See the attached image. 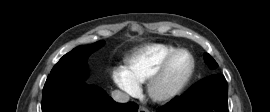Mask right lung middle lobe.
I'll list each match as a JSON object with an SVG mask.
<instances>
[{
  "label": "right lung middle lobe",
  "instance_id": "1",
  "mask_svg": "<svg viewBox=\"0 0 270 112\" xmlns=\"http://www.w3.org/2000/svg\"><path fill=\"white\" fill-rule=\"evenodd\" d=\"M103 41H98L91 45L79 46L64 55L53 67L48 82H79L88 77L87 57L103 45Z\"/></svg>",
  "mask_w": 270,
  "mask_h": 112
}]
</instances>
